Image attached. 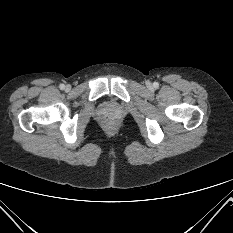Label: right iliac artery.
Returning <instances> with one entry per match:
<instances>
[{
  "mask_svg": "<svg viewBox=\"0 0 233 233\" xmlns=\"http://www.w3.org/2000/svg\"><path fill=\"white\" fill-rule=\"evenodd\" d=\"M59 88H60L61 90H64V89H65V85H64V84H60Z\"/></svg>",
  "mask_w": 233,
  "mask_h": 233,
  "instance_id": "obj_1",
  "label": "right iliac artery"
}]
</instances>
